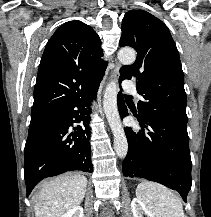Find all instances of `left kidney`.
Here are the masks:
<instances>
[{
	"instance_id": "1",
	"label": "left kidney",
	"mask_w": 211,
	"mask_h": 217,
	"mask_svg": "<svg viewBox=\"0 0 211 217\" xmlns=\"http://www.w3.org/2000/svg\"><path fill=\"white\" fill-rule=\"evenodd\" d=\"M131 208L133 212V217H153L150 211L146 208L143 202L138 198H133L131 202Z\"/></svg>"
}]
</instances>
